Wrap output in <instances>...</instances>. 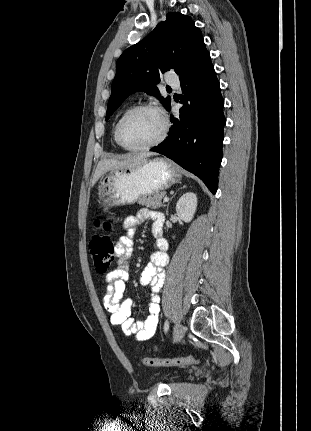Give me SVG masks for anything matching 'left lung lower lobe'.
Here are the masks:
<instances>
[{"instance_id": "0a47b994", "label": "left lung lower lobe", "mask_w": 311, "mask_h": 431, "mask_svg": "<svg viewBox=\"0 0 311 431\" xmlns=\"http://www.w3.org/2000/svg\"><path fill=\"white\" fill-rule=\"evenodd\" d=\"M180 82V116H171L173 126L168 138L150 151L161 153L194 173L215 193L226 120L219 81L207 50L193 61Z\"/></svg>"}]
</instances>
